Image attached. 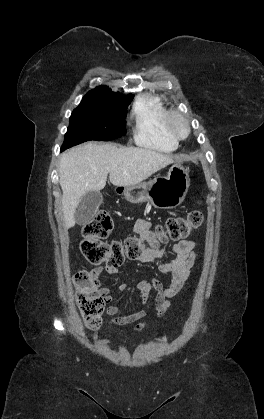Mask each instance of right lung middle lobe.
Instances as JSON below:
<instances>
[{
  "instance_id": "1",
  "label": "right lung middle lobe",
  "mask_w": 264,
  "mask_h": 419,
  "mask_svg": "<svg viewBox=\"0 0 264 419\" xmlns=\"http://www.w3.org/2000/svg\"><path fill=\"white\" fill-rule=\"evenodd\" d=\"M131 100L86 94L72 112L61 151L85 141H109L124 135Z\"/></svg>"
}]
</instances>
